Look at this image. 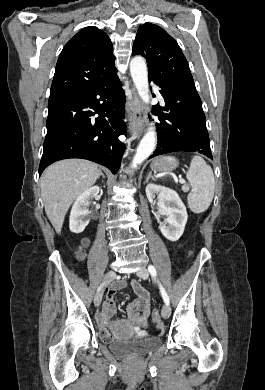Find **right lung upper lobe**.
<instances>
[{"instance_id": "right-lung-upper-lobe-1", "label": "right lung upper lobe", "mask_w": 265, "mask_h": 390, "mask_svg": "<svg viewBox=\"0 0 265 390\" xmlns=\"http://www.w3.org/2000/svg\"><path fill=\"white\" fill-rule=\"evenodd\" d=\"M110 38L95 26L83 28L58 58L50 97L84 87L115 70Z\"/></svg>"}]
</instances>
